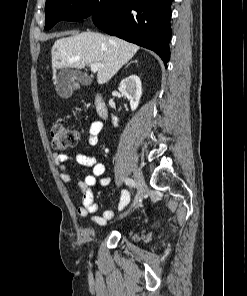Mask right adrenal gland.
<instances>
[{
    "mask_svg": "<svg viewBox=\"0 0 247 296\" xmlns=\"http://www.w3.org/2000/svg\"><path fill=\"white\" fill-rule=\"evenodd\" d=\"M136 63L137 61L135 60V61H131L130 63H128L127 65H126V67H128L131 63Z\"/></svg>",
    "mask_w": 247,
    "mask_h": 296,
    "instance_id": "1",
    "label": "right adrenal gland"
}]
</instances>
